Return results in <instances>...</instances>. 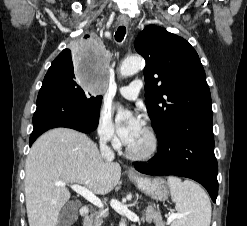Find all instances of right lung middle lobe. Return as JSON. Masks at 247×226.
<instances>
[{
    "label": "right lung middle lobe",
    "instance_id": "obj_1",
    "mask_svg": "<svg viewBox=\"0 0 247 226\" xmlns=\"http://www.w3.org/2000/svg\"><path fill=\"white\" fill-rule=\"evenodd\" d=\"M73 65L75 64L70 54L68 58L62 59L50 67L44 80H52L59 83L89 108L100 111L102 96L92 94L88 90L81 89V86H78Z\"/></svg>",
    "mask_w": 247,
    "mask_h": 226
}]
</instances>
